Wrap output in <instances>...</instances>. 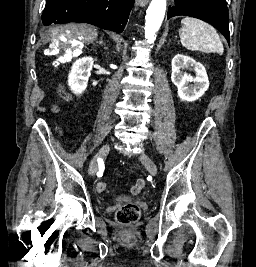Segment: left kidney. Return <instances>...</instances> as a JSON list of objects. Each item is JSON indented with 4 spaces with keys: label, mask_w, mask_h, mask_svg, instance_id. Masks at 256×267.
<instances>
[{
    "label": "left kidney",
    "mask_w": 256,
    "mask_h": 267,
    "mask_svg": "<svg viewBox=\"0 0 256 267\" xmlns=\"http://www.w3.org/2000/svg\"><path fill=\"white\" fill-rule=\"evenodd\" d=\"M171 80L178 88V98L186 100V102H194L203 96L204 92L209 88V80L203 64L195 62L190 56L177 54L172 62ZM184 68H193L195 78L188 76L186 72H182Z\"/></svg>",
    "instance_id": "obj_1"
}]
</instances>
